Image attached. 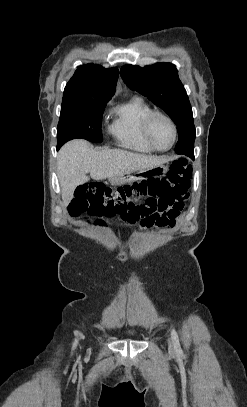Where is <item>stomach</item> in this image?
<instances>
[{
    "mask_svg": "<svg viewBox=\"0 0 247 407\" xmlns=\"http://www.w3.org/2000/svg\"><path fill=\"white\" fill-rule=\"evenodd\" d=\"M168 171V166H138L137 169H130L128 174L110 177L111 184L120 185L142 178H153V176H163Z\"/></svg>",
    "mask_w": 247,
    "mask_h": 407,
    "instance_id": "0dacf381",
    "label": "stomach"
}]
</instances>
